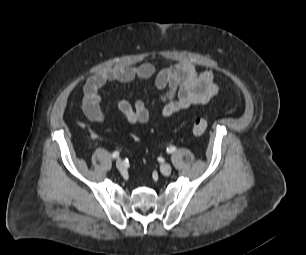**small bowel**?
Masks as SVG:
<instances>
[{
    "mask_svg": "<svg viewBox=\"0 0 306 255\" xmlns=\"http://www.w3.org/2000/svg\"><path fill=\"white\" fill-rule=\"evenodd\" d=\"M154 77V85L161 93L159 103L162 117L187 110L194 105L208 103L219 91V84L212 70L198 73L188 62H179L156 71L151 63L137 66H116L91 76L84 85L82 110L85 119L78 118L77 124L89 130L95 138L97 133L93 124L105 121L101 109V97L111 82L130 83L136 79L148 80ZM118 110L131 125H144L150 120L152 103L138 100L134 103L126 99L118 102Z\"/></svg>",
    "mask_w": 306,
    "mask_h": 255,
    "instance_id": "small-bowel-1",
    "label": "small bowel"
}]
</instances>
